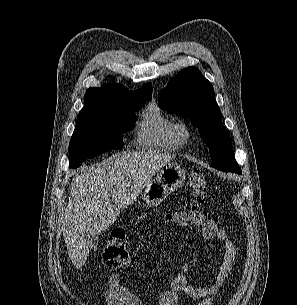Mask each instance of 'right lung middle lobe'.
Here are the masks:
<instances>
[{
  "mask_svg": "<svg viewBox=\"0 0 297 305\" xmlns=\"http://www.w3.org/2000/svg\"><path fill=\"white\" fill-rule=\"evenodd\" d=\"M149 99L121 102L106 108L82 109L69 143V163L73 168L88 158L123 146L122 133L132 130V113Z\"/></svg>",
  "mask_w": 297,
  "mask_h": 305,
  "instance_id": "right-lung-middle-lobe-1",
  "label": "right lung middle lobe"
}]
</instances>
